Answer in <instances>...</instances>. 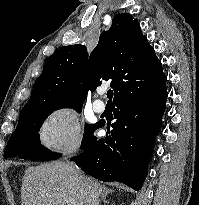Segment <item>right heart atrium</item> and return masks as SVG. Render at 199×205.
<instances>
[{"label":"right heart atrium","instance_id":"obj_1","mask_svg":"<svg viewBox=\"0 0 199 205\" xmlns=\"http://www.w3.org/2000/svg\"><path fill=\"white\" fill-rule=\"evenodd\" d=\"M41 144L49 151L71 153L82 142V128L77 113L68 106L52 110L39 131Z\"/></svg>","mask_w":199,"mask_h":205}]
</instances>
